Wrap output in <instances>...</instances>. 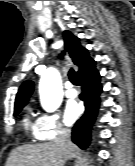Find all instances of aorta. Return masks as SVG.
Segmentation results:
<instances>
[{
  "label": "aorta",
  "mask_w": 135,
  "mask_h": 166,
  "mask_svg": "<svg viewBox=\"0 0 135 166\" xmlns=\"http://www.w3.org/2000/svg\"><path fill=\"white\" fill-rule=\"evenodd\" d=\"M40 102L47 112L56 111L62 103V83L56 69H48L39 82Z\"/></svg>",
  "instance_id": "obj_1"
}]
</instances>
